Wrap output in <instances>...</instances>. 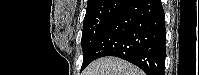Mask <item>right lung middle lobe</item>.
<instances>
[{"label": "right lung middle lobe", "instance_id": "right-lung-middle-lobe-1", "mask_svg": "<svg viewBox=\"0 0 199 75\" xmlns=\"http://www.w3.org/2000/svg\"><path fill=\"white\" fill-rule=\"evenodd\" d=\"M128 0H107L105 3L86 10L83 21L81 46L83 64L81 71L90 63L91 52L105 29L116 17Z\"/></svg>", "mask_w": 199, "mask_h": 75}]
</instances>
